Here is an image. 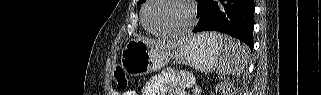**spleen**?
<instances>
[{"mask_svg":"<svg viewBox=\"0 0 321 95\" xmlns=\"http://www.w3.org/2000/svg\"><path fill=\"white\" fill-rule=\"evenodd\" d=\"M210 37L218 38L223 46L216 65V72L220 75L241 74L248 62V47L242 42L217 33H210Z\"/></svg>","mask_w":321,"mask_h":95,"instance_id":"1","label":"spleen"}]
</instances>
